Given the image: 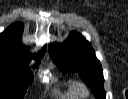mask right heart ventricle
Masks as SVG:
<instances>
[{"instance_id":"e07e8e85","label":"right heart ventricle","mask_w":128,"mask_h":99,"mask_svg":"<svg viewBox=\"0 0 128 99\" xmlns=\"http://www.w3.org/2000/svg\"><path fill=\"white\" fill-rule=\"evenodd\" d=\"M56 93L59 96H63L65 98H78V97H80V96L77 95V93L75 91L74 83H71L67 87V90L65 92L56 91Z\"/></svg>"}]
</instances>
